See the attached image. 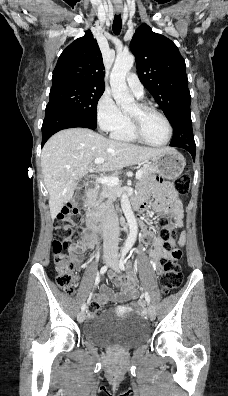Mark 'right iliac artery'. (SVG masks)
Returning <instances> with one entry per match:
<instances>
[{
    "label": "right iliac artery",
    "instance_id": "1",
    "mask_svg": "<svg viewBox=\"0 0 228 396\" xmlns=\"http://www.w3.org/2000/svg\"><path fill=\"white\" fill-rule=\"evenodd\" d=\"M107 269H108V266H107V265L103 266V267L100 269V274L103 275V274L107 271ZM96 283H97V282H96ZM85 309H86V304H83V305L81 306V310L84 311Z\"/></svg>",
    "mask_w": 228,
    "mask_h": 396
}]
</instances>
